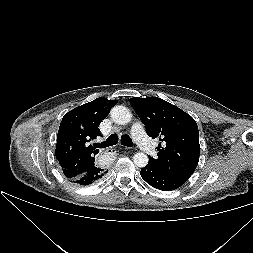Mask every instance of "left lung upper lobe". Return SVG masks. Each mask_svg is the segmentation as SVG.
Wrapping results in <instances>:
<instances>
[{
    "label": "left lung upper lobe",
    "instance_id": "5c2ea615",
    "mask_svg": "<svg viewBox=\"0 0 253 253\" xmlns=\"http://www.w3.org/2000/svg\"><path fill=\"white\" fill-rule=\"evenodd\" d=\"M130 102L145 125L147 134L160 141L158 157H149V163L186 182L199 161V131L195 120L158 97H134Z\"/></svg>",
    "mask_w": 253,
    "mask_h": 253
}]
</instances>
